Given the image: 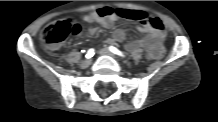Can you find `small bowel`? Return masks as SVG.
I'll return each instance as SVG.
<instances>
[{"label":"small bowel","instance_id":"small-bowel-1","mask_svg":"<svg viewBox=\"0 0 218 122\" xmlns=\"http://www.w3.org/2000/svg\"><path fill=\"white\" fill-rule=\"evenodd\" d=\"M119 18L117 9L112 7H100L82 16V20L86 23H98L104 28H111L115 21ZM138 31L145 36L141 39L134 40L127 45L130 51L144 49L148 58L154 59V52L158 50L159 46H163L166 33L163 27L155 28L149 24H141L138 26ZM98 32L97 27H90L88 35L94 36ZM126 34L123 29H116L113 33V41L121 42L125 39Z\"/></svg>","mask_w":218,"mask_h":122}]
</instances>
